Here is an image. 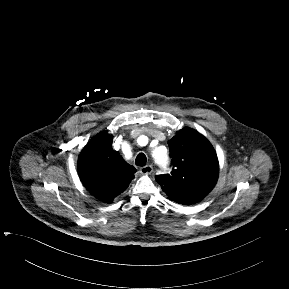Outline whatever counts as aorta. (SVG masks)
<instances>
[{"instance_id":"obj_1","label":"aorta","mask_w":289,"mask_h":289,"mask_svg":"<svg viewBox=\"0 0 289 289\" xmlns=\"http://www.w3.org/2000/svg\"><path fill=\"white\" fill-rule=\"evenodd\" d=\"M153 157H154L155 163L158 165H165L168 160V157L166 154H160L156 151L153 153Z\"/></svg>"}]
</instances>
